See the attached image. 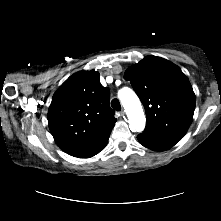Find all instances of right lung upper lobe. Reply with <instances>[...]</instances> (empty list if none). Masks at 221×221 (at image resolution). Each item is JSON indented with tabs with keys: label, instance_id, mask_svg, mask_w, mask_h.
<instances>
[{
	"label": "right lung upper lobe",
	"instance_id": "obj_1",
	"mask_svg": "<svg viewBox=\"0 0 221 221\" xmlns=\"http://www.w3.org/2000/svg\"><path fill=\"white\" fill-rule=\"evenodd\" d=\"M115 122L110 91L101 85L94 70L69 77L53 95L48 111L55 142L78 158H89L103 150Z\"/></svg>",
	"mask_w": 221,
	"mask_h": 221
}]
</instances>
